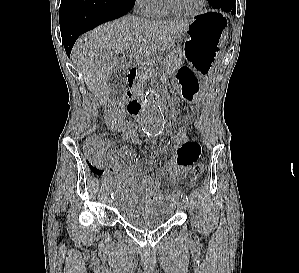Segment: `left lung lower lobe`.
Wrapping results in <instances>:
<instances>
[{"label":"left lung lower lobe","mask_w":299,"mask_h":273,"mask_svg":"<svg viewBox=\"0 0 299 273\" xmlns=\"http://www.w3.org/2000/svg\"><path fill=\"white\" fill-rule=\"evenodd\" d=\"M235 0H215L210 5L212 8L221 9L225 12L235 14Z\"/></svg>","instance_id":"0a47b994"}]
</instances>
